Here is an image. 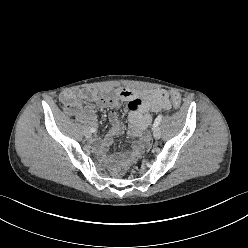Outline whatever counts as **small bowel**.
<instances>
[{"instance_id":"small-bowel-1","label":"small bowel","mask_w":248,"mask_h":248,"mask_svg":"<svg viewBox=\"0 0 248 248\" xmlns=\"http://www.w3.org/2000/svg\"><path fill=\"white\" fill-rule=\"evenodd\" d=\"M79 99L97 101L100 106L110 108V121L112 128L103 141L93 140L100 149L105 150L111 145L113 137L123 132V125L116 113V108L122 101L128 103L129 121L131 124V134L140 137V142L134 147L131 155L120 157L122 164L127 163L132 157L137 155L146 142L143 132L151 123V113L168 111L171 109L169 99L159 89H130L119 88L115 91H100L96 89L87 91H65L60 95V100L70 113L76 114L81 111L91 112L90 109H83Z\"/></svg>"}]
</instances>
